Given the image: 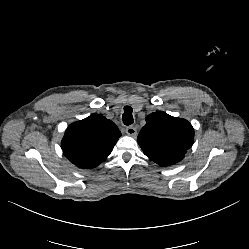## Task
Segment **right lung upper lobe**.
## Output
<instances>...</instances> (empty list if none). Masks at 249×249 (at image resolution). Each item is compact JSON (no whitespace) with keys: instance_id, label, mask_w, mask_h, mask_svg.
Segmentation results:
<instances>
[{"instance_id":"obj_1","label":"right lung upper lobe","mask_w":249,"mask_h":249,"mask_svg":"<svg viewBox=\"0 0 249 249\" xmlns=\"http://www.w3.org/2000/svg\"><path fill=\"white\" fill-rule=\"evenodd\" d=\"M120 136L114 122L101 114H92L67 128L61 148L77 167L94 168L108 157Z\"/></svg>"}]
</instances>
